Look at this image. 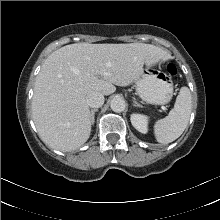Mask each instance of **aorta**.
I'll list each match as a JSON object with an SVG mask.
<instances>
[{
	"label": "aorta",
	"instance_id": "aorta-1",
	"mask_svg": "<svg viewBox=\"0 0 220 220\" xmlns=\"http://www.w3.org/2000/svg\"><path fill=\"white\" fill-rule=\"evenodd\" d=\"M110 107L114 112L120 113L125 110L126 103H125L124 99H122L120 97H116L111 100Z\"/></svg>",
	"mask_w": 220,
	"mask_h": 220
}]
</instances>
